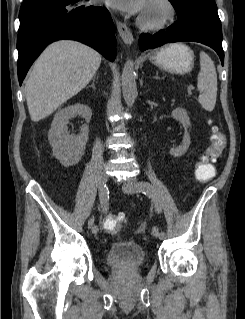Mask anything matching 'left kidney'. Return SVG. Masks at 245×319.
Instances as JSON below:
<instances>
[{"label":"left kidney","mask_w":245,"mask_h":319,"mask_svg":"<svg viewBox=\"0 0 245 319\" xmlns=\"http://www.w3.org/2000/svg\"><path fill=\"white\" fill-rule=\"evenodd\" d=\"M172 117L182 123L185 128V134L179 147L170 150V154L174 157H180L186 153L190 146V135L187 128L190 126V119L187 112L183 108H176L171 113Z\"/></svg>","instance_id":"left-kidney-1"}]
</instances>
